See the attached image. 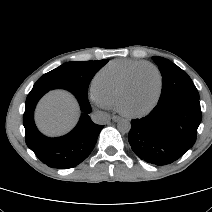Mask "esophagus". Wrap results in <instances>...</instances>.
<instances>
[{
  "label": "esophagus",
  "instance_id": "34e87169",
  "mask_svg": "<svg viewBox=\"0 0 212 212\" xmlns=\"http://www.w3.org/2000/svg\"><path fill=\"white\" fill-rule=\"evenodd\" d=\"M120 119L121 118L119 116H117V115H113L112 116V121H114V122H118Z\"/></svg>",
  "mask_w": 212,
  "mask_h": 212
}]
</instances>
